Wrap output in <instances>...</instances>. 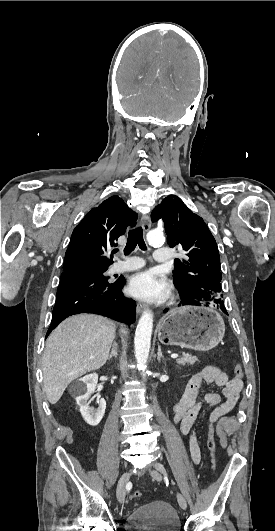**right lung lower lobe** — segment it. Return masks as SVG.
Wrapping results in <instances>:
<instances>
[{
	"label": "right lung lower lobe",
	"instance_id": "obj_1",
	"mask_svg": "<svg viewBox=\"0 0 275 531\" xmlns=\"http://www.w3.org/2000/svg\"><path fill=\"white\" fill-rule=\"evenodd\" d=\"M124 284V278L109 282L85 270L64 271L46 337L62 320L80 313L107 316L128 325L134 323L136 303L123 295Z\"/></svg>",
	"mask_w": 275,
	"mask_h": 531
}]
</instances>
